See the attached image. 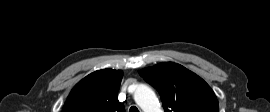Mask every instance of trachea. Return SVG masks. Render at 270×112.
<instances>
[{
    "instance_id": "3493384b",
    "label": "trachea",
    "mask_w": 270,
    "mask_h": 112,
    "mask_svg": "<svg viewBox=\"0 0 270 112\" xmlns=\"http://www.w3.org/2000/svg\"><path fill=\"white\" fill-rule=\"evenodd\" d=\"M129 112H139V110H138L137 107L132 106V107L129 109Z\"/></svg>"
}]
</instances>
